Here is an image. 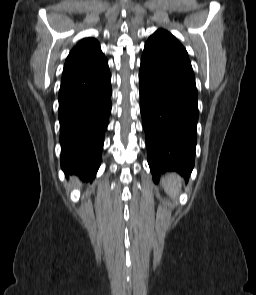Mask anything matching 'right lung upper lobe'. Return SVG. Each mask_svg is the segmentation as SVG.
Wrapping results in <instances>:
<instances>
[{
	"label": "right lung upper lobe",
	"instance_id": "cb5924a9",
	"mask_svg": "<svg viewBox=\"0 0 256 295\" xmlns=\"http://www.w3.org/2000/svg\"><path fill=\"white\" fill-rule=\"evenodd\" d=\"M103 58L105 57L98 41L94 38H85L71 50L66 59L63 72Z\"/></svg>",
	"mask_w": 256,
	"mask_h": 295
}]
</instances>
